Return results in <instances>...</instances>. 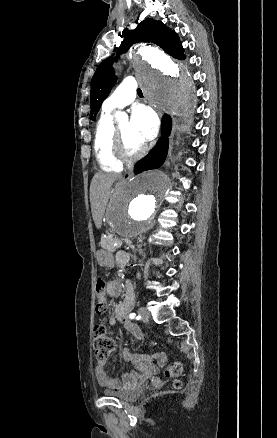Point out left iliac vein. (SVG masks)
I'll use <instances>...</instances> for the list:
<instances>
[{
	"instance_id": "1",
	"label": "left iliac vein",
	"mask_w": 277,
	"mask_h": 438,
	"mask_svg": "<svg viewBox=\"0 0 277 438\" xmlns=\"http://www.w3.org/2000/svg\"><path fill=\"white\" fill-rule=\"evenodd\" d=\"M138 313H139L140 318H141L142 321L146 322V321L149 320L150 314H149V312L147 311L146 308L140 307Z\"/></svg>"
}]
</instances>
